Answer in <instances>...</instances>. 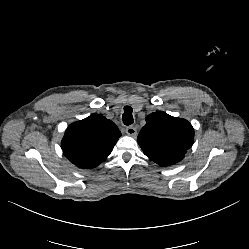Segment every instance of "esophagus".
Here are the masks:
<instances>
[{
    "instance_id": "34e87169",
    "label": "esophagus",
    "mask_w": 249,
    "mask_h": 249,
    "mask_svg": "<svg viewBox=\"0 0 249 249\" xmlns=\"http://www.w3.org/2000/svg\"><path fill=\"white\" fill-rule=\"evenodd\" d=\"M126 134L132 137H135L137 135V129L134 126H128L125 130Z\"/></svg>"
}]
</instances>
